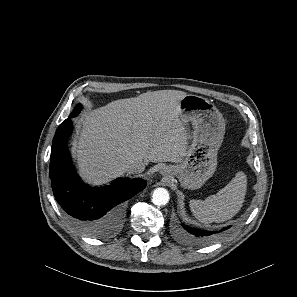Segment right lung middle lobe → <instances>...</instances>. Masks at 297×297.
Here are the masks:
<instances>
[{
    "label": "right lung middle lobe",
    "mask_w": 297,
    "mask_h": 297,
    "mask_svg": "<svg viewBox=\"0 0 297 297\" xmlns=\"http://www.w3.org/2000/svg\"><path fill=\"white\" fill-rule=\"evenodd\" d=\"M80 111H81V105H78V106L74 109V111L72 112V114H74V115H78Z\"/></svg>",
    "instance_id": "dd1d6c3e"
}]
</instances>
